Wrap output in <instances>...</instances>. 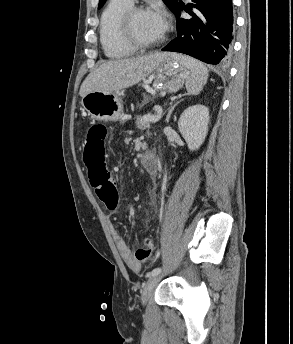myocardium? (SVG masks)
Instances as JSON below:
<instances>
[{
    "label": "myocardium",
    "instance_id": "myocardium-1",
    "mask_svg": "<svg viewBox=\"0 0 293 344\" xmlns=\"http://www.w3.org/2000/svg\"><path fill=\"white\" fill-rule=\"evenodd\" d=\"M148 8L141 5L130 6L121 16L119 20V31L122 39L135 49L146 50L156 47L165 41V35L156 41H142L137 38L132 29V23L135 16L141 12H147Z\"/></svg>",
    "mask_w": 293,
    "mask_h": 344
}]
</instances>
